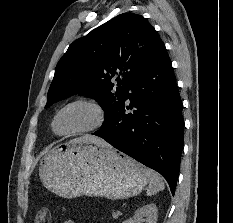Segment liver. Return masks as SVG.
Masks as SVG:
<instances>
[{
	"label": "liver",
	"mask_w": 233,
	"mask_h": 223,
	"mask_svg": "<svg viewBox=\"0 0 233 223\" xmlns=\"http://www.w3.org/2000/svg\"><path fill=\"white\" fill-rule=\"evenodd\" d=\"M80 141H91V143H97V145H106V147H111L107 141L101 139V137H96V135H89V133H85L82 137H75L72 139V143H80Z\"/></svg>",
	"instance_id": "obj_1"
}]
</instances>
